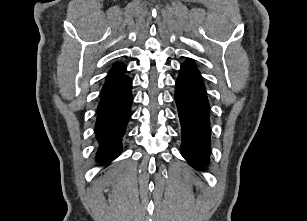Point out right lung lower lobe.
<instances>
[{
	"label": "right lung lower lobe",
	"instance_id": "obj_1",
	"mask_svg": "<svg viewBox=\"0 0 307 221\" xmlns=\"http://www.w3.org/2000/svg\"><path fill=\"white\" fill-rule=\"evenodd\" d=\"M132 82L122 83L111 89L102 90L97 108L95 133L101 147L97 160L111 161L121 152V141L130 119Z\"/></svg>",
	"mask_w": 307,
	"mask_h": 221
}]
</instances>
